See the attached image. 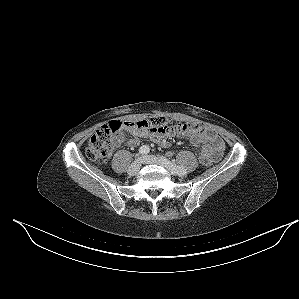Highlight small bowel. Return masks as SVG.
Masks as SVG:
<instances>
[{
    "instance_id": "1",
    "label": "small bowel",
    "mask_w": 299,
    "mask_h": 299,
    "mask_svg": "<svg viewBox=\"0 0 299 299\" xmlns=\"http://www.w3.org/2000/svg\"><path fill=\"white\" fill-rule=\"evenodd\" d=\"M132 134V138L128 140V144L136 146L139 144V139L144 137H150L158 140V142L166 147L168 142L164 139L165 136H172L168 133H158L149 129H138V128H125ZM191 143L198 145L203 144L201 153L205 154L211 162L218 161L225 149V143L220 136L215 132L206 129L201 126L200 130L192 133L189 136ZM121 142V138H117L114 141V146H117Z\"/></svg>"
}]
</instances>
